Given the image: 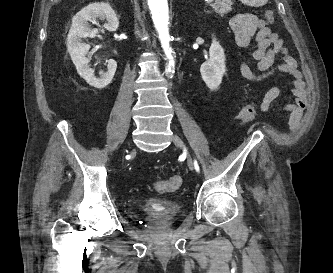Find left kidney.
<instances>
[{"mask_svg":"<svg viewBox=\"0 0 333 273\" xmlns=\"http://www.w3.org/2000/svg\"><path fill=\"white\" fill-rule=\"evenodd\" d=\"M210 58L200 67L203 81L211 90H215L222 82V77L226 72L224 49L220 43L213 38L209 49Z\"/></svg>","mask_w":333,"mask_h":273,"instance_id":"obj_1","label":"left kidney"}]
</instances>
